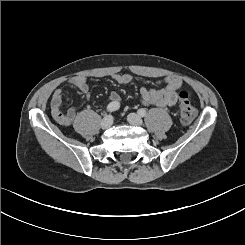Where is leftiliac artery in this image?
<instances>
[{
  "instance_id": "left-iliac-artery-1",
  "label": "left iliac artery",
  "mask_w": 245,
  "mask_h": 245,
  "mask_svg": "<svg viewBox=\"0 0 245 245\" xmlns=\"http://www.w3.org/2000/svg\"><path fill=\"white\" fill-rule=\"evenodd\" d=\"M138 114L141 116V117H144L146 115V110L144 108H140L138 110Z\"/></svg>"
}]
</instances>
